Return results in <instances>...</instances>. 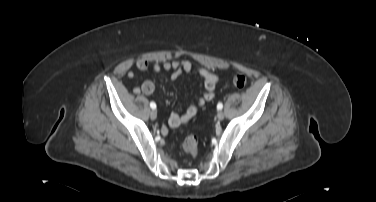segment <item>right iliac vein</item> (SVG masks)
<instances>
[{
    "label": "right iliac vein",
    "instance_id": "right-iliac-vein-1",
    "mask_svg": "<svg viewBox=\"0 0 376 202\" xmlns=\"http://www.w3.org/2000/svg\"><path fill=\"white\" fill-rule=\"evenodd\" d=\"M150 118L152 120H155L157 118V111L155 109H153L151 112H150Z\"/></svg>",
    "mask_w": 376,
    "mask_h": 202
}]
</instances>
